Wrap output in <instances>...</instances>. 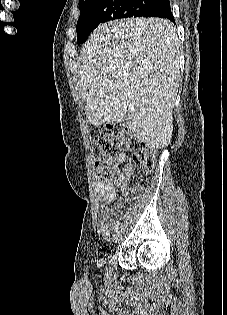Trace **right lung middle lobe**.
I'll list each match as a JSON object with an SVG mask.
<instances>
[{
    "mask_svg": "<svg viewBox=\"0 0 227 315\" xmlns=\"http://www.w3.org/2000/svg\"><path fill=\"white\" fill-rule=\"evenodd\" d=\"M158 0H81L77 43L87 40L99 24L121 18L142 17Z\"/></svg>",
    "mask_w": 227,
    "mask_h": 315,
    "instance_id": "obj_1",
    "label": "right lung middle lobe"
}]
</instances>
